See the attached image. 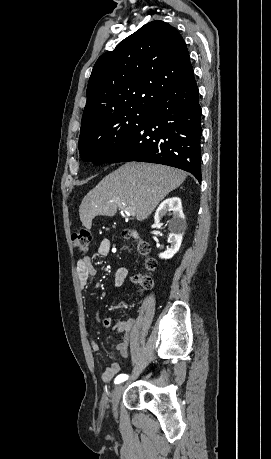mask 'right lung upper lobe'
<instances>
[{
    "instance_id": "obj_1",
    "label": "right lung upper lobe",
    "mask_w": 271,
    "mask_h": 459,
    "mask_svg": "<svg viewBox=\"0 0 271 459\" xmlns=\"http://www.w3.org/2000/svg\"><path fill=\"white\" fill-rule=\"evenodd\" d=\"M194 76L178 30L160 20L149 22L95 63L82 123L100 116L150 105Z\"/></svg>"
}]
</instances>
